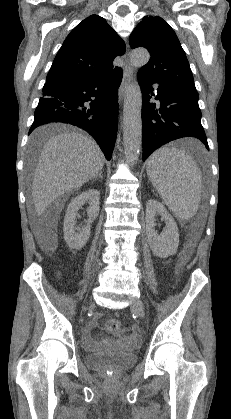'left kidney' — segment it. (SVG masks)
Segmentation results:
<instances>
[{"label":"left kidney","instance_id":"obj_1","mask_svg":"<svg viewBox=\"0 0 231 419\" xmlns=\"http://www.w3.org/2000/svg\"><path fill=\"white\" fill-rule=\"evenodd\" d=\"M160 215L166 227L162 235L155 230V216ZM146 233L152 252L161 258H167L177 252L179 232L176 222L166 208L156 200H149L146 205Z\"/></svg>","mask_w":231,"mask_h":419}]
</instances>
